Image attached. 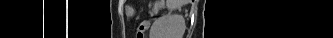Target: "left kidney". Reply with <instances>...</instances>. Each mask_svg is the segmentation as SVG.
Masks as SVG:
<instances>
[{
  "label": "left kidney",
  "instance_id": "5707ae66",
  "mask_svg": "<svg viewBox=\"0 0 333 38\" xmlns=\"http://www.w3.org/2000/svg\"><path fill=\"white\" fill-rule=\"evenodd\" d=\"M186 30L185 19L179 14L161 16L151 27V38H183Z\"/></svg>",
  "mask_w": 333,
  "mask_h": 38
}]
</instances>
